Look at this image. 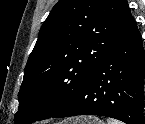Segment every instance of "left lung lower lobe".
<instances>
[{
	"label": "left lung lower lobe",
	"mask_w": 145,
	"mask_h": 124,
	"mask_svg": "<svg viewBox=\"0 0 145 124\" xmlns=\"http://www.w3.org/2000/svg\"><path fill=\"white\" fill-rule=\"evenodd\" d=\"M145 52L132 18L79 93L51 117L98 115L144 124Z\"/></svg>",
	"instance_id": "obj_1"
}]
</instances>
